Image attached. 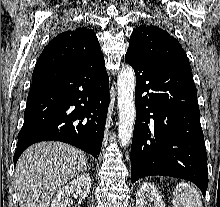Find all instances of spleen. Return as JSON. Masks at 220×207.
I'll list each match as a JSON object with an SVG mask.
<instances>
[{
	"instance_id": "obj_1",
	"label": "spleen",
	"mask_w": 220,
	"mask_h": 207,
	"mask_svg": "<svg viewBox=\"0 0 220 207\" xmlns=\"http://www.w3.org/2000/svg\"><path fill=\"white\" fill-rule=\"evenodd\" d=\"M173 196V207H202L199 192L186 182L177 184Z\"/></svg>"
}]
</instances>
